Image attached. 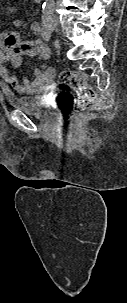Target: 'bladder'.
Instances as JSON below:
<instances>
[{
    "mask_svg": "<svg viewBox=\"0 0 127 303\" xmlns=\"http://www.w3.org/2000/svg\"><path fill=\"white\" fill-rule=\"evenodd\" d=\"M7 100L13 109L24 111L32 116H46L49 114L44 101L39 95H9Z\"/></svg>",
    "mask_w": 127,
    "mask_h": 303,
    "instance_id": "31cf9c89",
    "label": "bladder"
}]
</instances>
